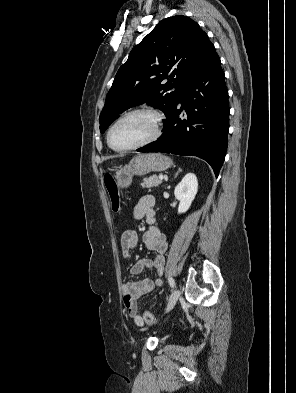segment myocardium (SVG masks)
<instances>
[{
    "mask_svg": "<svg viewBox=\"0 0 296 393\" xmlns=\"http://www.w3.org/2000/svg\"><path fill=\"white\" fill-rule=\"evenodd\" d=\"M135 114H145V115H149L150 117L153 118L154 120V132L153 134L147 138L146 140L139 142L135 145L129 146V147H125V148H117L112 144L111 141V135L112 132L114 130V128L116 127V125L118 123H120L122 120H124L125 118L135 115ZM162 126H163V117L162 115L154 110V109H150V108H138V109H133L130 110L126 113H124L123 115H121L113 124L112 126L109 128L108 133H107V143L109 145V147L111 149H113L114 151L117 152H126V151H130V150H135L141 147H144L146 145H149L153 142H155L157 139H159V137L162 134Z\"/></svg>",
    "mask_w": 296,
    "mask_h": 393,
    "instance_id": "1",
    "label": "myocardium"
}]
</instances>
